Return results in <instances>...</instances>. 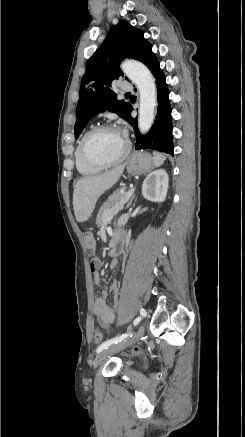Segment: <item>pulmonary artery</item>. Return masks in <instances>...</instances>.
I'll return each instance as SVG.
<instances>
[{
  "label": "pulmonary artery",
  "mask_w": 245,
  "mask_h": 437,
  "mask_svg": "<svg viewBox=\"0 0 245 437\" xmlns=\"http://www.w3.org/2000/svg\"><path fill=\"white\" fill-rule=\"evenodd\" d=\"M120 90L123 92H127V91H131L132 90V85L128 82H122L120 84Z\"/></svg>",
  "instance_id": "pulmonary-artery-1"
}]
</instances>
